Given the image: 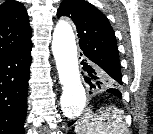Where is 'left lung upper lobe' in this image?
Listing matches in <instances>:
<instances>
[{
	"label": "left lung upper lobe",
	"mask_w": 153,
	"mask_h": 134,
	"mask_svg": "<svg viewBox=\"0 0 153 134\" xmlns=\"http://www.w3.org/2000/svg\"><path fill=\"white\" fill-rule=\"evenodd\" d=\"M57 16H68L73 20L80 38V48L87 60L109 72L104 87L119 90L122 85V75L118 46L107 17L85 0H63Z\"/></svg>",
	"instance_id": "1"
}]
</instances>
